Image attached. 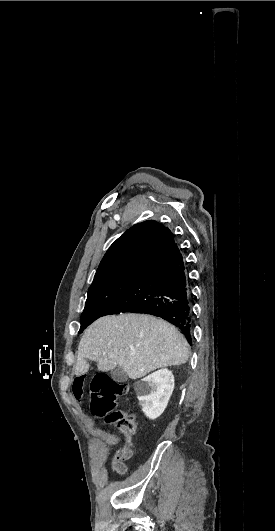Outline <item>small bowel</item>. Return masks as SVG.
I'll return each instance as SVG.
<instances>
[{"label": "small bowel", "instance_id": "obj_1", "mask_svg": "<svg viewBox=\"0 0 275 531\" xmlns=\"http://www.w3.org/2000/svg\"><path fill=\"white\" fill-rule=\"evenodd\" d=\"M121 448H126V449H127V448H129V449H130V451H131V448H130V447H125V446H123V447H121ZM131 452H132V451H131ZM115 458H116V457H115Z\"/></svg>", "mask_w": 275, "mask_h": 531}]
</instances>
